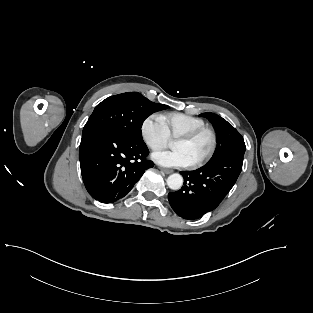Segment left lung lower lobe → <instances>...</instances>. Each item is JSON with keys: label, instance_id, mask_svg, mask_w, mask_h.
I'll list each match as a JSON object with an SVG mask.
<instances>
[{"label": "left lung lower lobe", "instance_id": "obj_1", "mask_svg": "<svg viewBox=\"0 0 313 313\" xmlns=\"http://www.w3.org/2000/svg\"><path fill=\"white\" fill-rule=\"evenodd\" d=\"M244 154H232L207 162L194 171L180 172L184 186L168 194L169 203L184 219H198L217 208L235 184Z\"/></svg>", "mask_w": 313, "mask_h": 313}]
</instances>
